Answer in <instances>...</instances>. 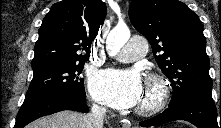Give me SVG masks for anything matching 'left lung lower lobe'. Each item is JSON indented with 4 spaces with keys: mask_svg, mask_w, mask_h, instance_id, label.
Masks as SVG:
<instances>
[{
    "mask_svg": "<svg viewBox=\"0 0 221 128\" xmlns=\"http://www.w3.org/2000/svg\"><path fill=\"white\" fill-rule=\"evenodd\" d=\"M217 109L212 97L197 96L189 98L176 106L169 107L154 118L145 120L139 125L156 126L175 120L188 121L198 128H219ZM221 128V112H220Z\"/></svg>",
    "mask_w": 221,
    "mask_h": 128,
    "instance_id": "obj_1",
    "label": "left lung lower lobe"
}]
</instances>
